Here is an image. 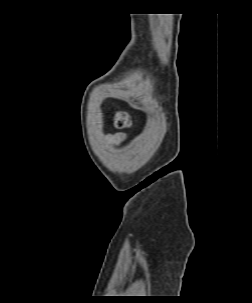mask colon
<instances>
[{"label":"colon","mask_w":252,"mask_h":303,"mask_svg":"<svg viewBox=\"0 0 252 303\" xmlns=\"http://www.w3.org/2000/svg\"><path fill=\"white\" fill-rule=\"evenodd\" d=\"M114 124L120 128H127L131 125V122H130V119L128 116H126L124 114H118L114 118Z\"/></svg>","instance_id":"1"}]
</instances>
